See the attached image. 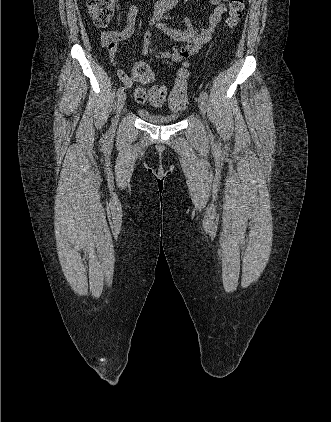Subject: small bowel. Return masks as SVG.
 I'll return each instance as SVG.
<instances>
[{"mask_svg":"<svg viewBox=\"0 0 331 422\" xmlns=\"http://www.w3.org/2000/svg\"><path fill=\"white\" fill-rule=\"evenodd\" d=\"M209 1L214 5V9L208 17L206 27H203L202 25L194 26L190 23L187 17H183L182 19L186 24V28L184 30H178L170 27L164 22L168 9L166 8L164 1L160 0L155 6L153 15L149 20L148 27L144 33L142 55L147 58L181 63L184 62L185 59L200 51L211 41L212 36L216 31V27L220 23L222 16L227 11V6L225 4L226 0ZM138 13V5L136 3H131L126 16V25L122 30L100 32L101 43L108 48L109 58L112 62H115L117 59L118 48L120 45L128 42L134 34ZM155 30L162 32L175 42L171 45L170 51H156L154 49L153 43ZM177 43H183L184 46H179ZM117 76L128 89L132 88L135 83H141L134 75L130 76L123 70H118ZM150 102L154 106L161 105L156 104L151 99Z\"/></svg>","mask_w":331,"mask_h":422,"instance_id":"1","label":"small bowel"}]
</instances>
